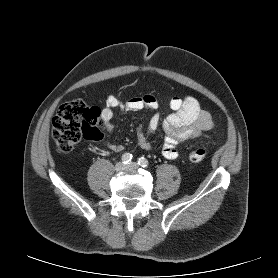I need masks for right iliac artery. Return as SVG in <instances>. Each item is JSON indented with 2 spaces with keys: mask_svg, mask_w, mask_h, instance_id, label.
<instances>
[{
  "mask_svg": "<svg viewBox=\"0 0 278 278\" xmlns=\"http://www.w3.org/2000/svg\"><path fill=\"white\" fill-rule=\"evenodd\" d=\"M122 162L124 163V164H130L131 163V161H132V154H130V153H125V154H123L122 155Z\"/></svg>",
  "mask_w": 278,
  "mask_h": 278,
  "instance_id": "obj_1",
  "label": "right iliac artery"
}]
</instances>
